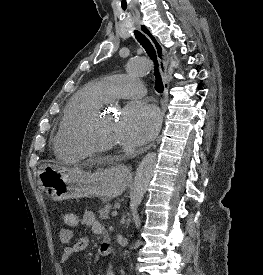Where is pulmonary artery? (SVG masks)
Wrapping results in <instances>:
<instances>
[{
    "instance_id": "obj_1",
    "label": "pulmonary artery",
    "mask_w": 263,
    "mask_h": 275,
    "mask_svg": "<svg viewBox=\"0 0 263 275\" xmlns=\"http://www.w3.org/2000/svg\"><path fill=\"white\" fill-rule=\"evenodd\" d=\"M108 100L115 98H140L146 90L143 83L134 76L116 74L99 81Z\"/></svg>"
}]
</instances>
